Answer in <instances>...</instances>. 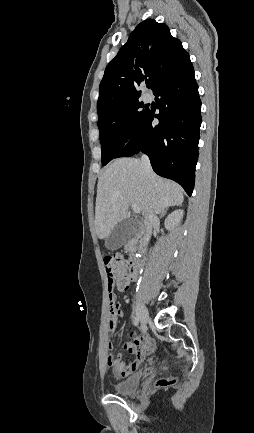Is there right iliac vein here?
Listing matches in <instances>:
<instances>
[{
	"mask_svg": "<svg viewBox=\"0 0 254 433\" xmlns=\"http://www.w3.org/2000/svg\"><path fill=\"white\" fill-rule=\"evenodd\" d=\"M137 316L142 325H146L149 322L148 312L145 306L141 303L137 305Z\"/></svg>",
	"mask_w": 254,
	"mask_h": 433,
	"instance_id": "right-iliac-vein-1",
	"label": "right iliac vein"
}]
</instances>
